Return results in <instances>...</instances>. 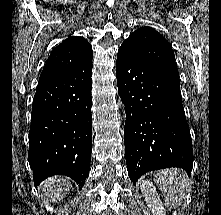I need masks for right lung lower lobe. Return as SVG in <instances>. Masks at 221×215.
Instances as JSON below:
<instances>
[{"label":"right lung lower lobe","instance_id":"obj_1","mask_svg":"<svg viewBox=\"0 0 221 215\" xmlns=\"http://www.w3.org/2000/svg\"><path fill=\"white\" fill-rule=\"evenodd\" d=\"M91 75L92 58L64 76L38 83L28 152L35 185L53 175L84 185L92 152Z\"/></svg>","mask_w":221,"mask_h":215}]
</instances>
